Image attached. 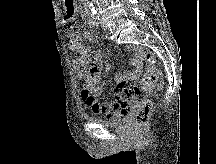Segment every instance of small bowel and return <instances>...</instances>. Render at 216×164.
Listing matches in <instances>:
<instances>
[{"mask_svg": "<svg viewBox=\"0 0 216 164\" xmlns=\"http://www.w3.org/2000/svg\"><path fill=\"white\" fill-rule=\"evenodd\" d=\"M87 41H93L91 32H85ZM70 49L75 53L73 61L77 77L82 81L81 97L87 106L95 113L104 114L110 119H120L129 113L132 102L122 101L121 88L125 81H136L142 73L143 50L137 49L133 55L131 64L132 71L119 73L116 76V86L114 87V103H100L97 97L102 93V69L103 54L101 51L92 52L91 48L83 43V37L79 32H74L69 41ZM89 64V68L86 65Z\"/></svg>", "mask_w": 216, "mask_h": 164, "instance_id": "c3829d8e", "label": "small bowel"}]
</instances>
